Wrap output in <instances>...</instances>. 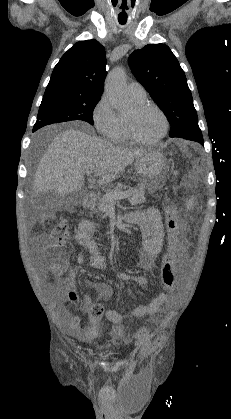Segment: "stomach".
<instances>
[{
  "label": "stomach",
  "mask_w": 231,
  "mask_h": 419,
  "mask_svg": "<svg viewBox=\"0 0 231 419\" xmlns=\"http://www.w3.org/2000/svg\"><path fill=\"white\" fill-rule=\"evenodd\" d=\"M141 183L150 191L163 186L169 168L167 159L158 151H148L135 161Z\"/></svg>",
  "instance_id": "obj_1"
}]
</instances>
